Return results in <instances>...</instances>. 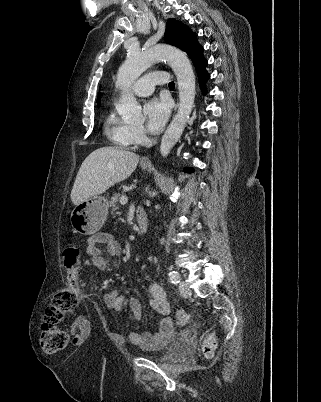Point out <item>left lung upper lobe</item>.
<instances>
[{
	"label": "left lung upper lobe",
	"instance_id": "obj_1",
	"mask_svg": "<svg viewBox=\"0 0 321 402\" xmlns=\"http://www.w3.org/2000/svg\"><path fill=\"white\" fill-rule=\"evenodd\" d=\"M164 40L185 51L188 55L199 45L196 35L186 25L175 19L168 20Z\"/></svg>",
	"mask_w": 321,
	"mask_h": 402
}]
</instances>
